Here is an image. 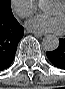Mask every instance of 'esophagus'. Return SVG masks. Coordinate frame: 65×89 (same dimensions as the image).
Here are the masks:
<instances>
[{
  "mask_svg": "<svg viewBox=\"0 0 65 89\" xmlns=\"http://www.w3.org/2000/svg\"><path fill=\"white\" fill-rule=\"evenodd\" d=\"M27 33H31V34H34V35L40 36V37L43 36L42 33L34 31V30H29V29H27Z\"/></svg>",
  "mask_w": 65,
  "mask_h": 89,
  "instance_id": "esophagus-1",
  "label": "esophagus"
}]
</instances>
